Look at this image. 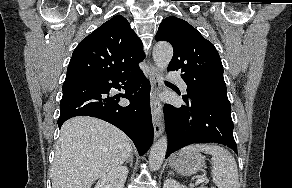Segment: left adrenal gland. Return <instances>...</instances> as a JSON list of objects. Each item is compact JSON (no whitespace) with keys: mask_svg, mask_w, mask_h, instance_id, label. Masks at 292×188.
<instances>
[{"mask_svg":"<svg viewBox=\"0 0 292 188\" xmlns=\"http://www.w3.org/2000/svg\"><path fill=\"white\" fill-rule=\"evenodd\" d=\"M171 174H173V172H172V171H169V172H168V175H171Z\"/></svg>","mask_w":292,"mask_h":188,"instance_id":"obj_1","label":"left adrenal gland"}]
</instances>
